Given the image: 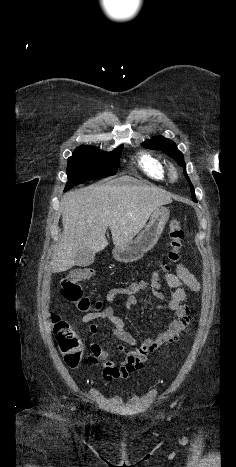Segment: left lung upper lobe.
I'll return each mask as SVG.
<instances>
[{"label":"left lung upper lobe","mask_w":236,"mask_h":467,"mask_svg":"<svg viewBox=\"0 0 236 467\" xmlns=\"http://www.w3.org/2000/svg\"><path fill=\"white\" fill-rule=\"evenodd\" d=\"M142 145L145 148L160 149L163 152H165L168 156L172 157L181 167L184 168V173L186 175V170H185L186 164L184 162L183 155H182V153L180 151H178L177 146L173 141H170L169 139H166L164 137L159 136V137L153 138L151 140H147ZM186 177H187V179L189 181V185H190V188H191L192 199L194 201H196L194 187H193L192 183L190 182V179L188 178L187 175H186Z\"/></svg>","instance_id":"obj_1"}]
</instances>
